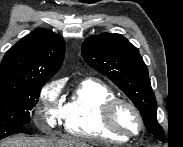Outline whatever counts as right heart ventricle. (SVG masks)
<instances>
[{
	"mask_svg": "<svg viewBox=\"0 0 183 147\" xmlns=\"http://www.w3.org/2000/svg\"><path fill=\"white\" fill-rule=\"evenodd\" d=\"M114 97V91L103 82L91 78L81 81L63 105L65 132L83 139L126 141L127 138L111 132L102 121V107Z\"/></svg>",
	"mask_w": 183,
	"mask_h": 147,
	"instance_id": "1",
	"label": "right heart ventricle"
}]
</instances>
